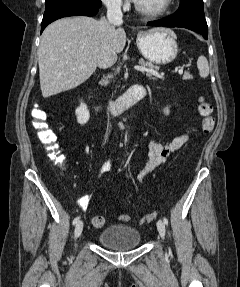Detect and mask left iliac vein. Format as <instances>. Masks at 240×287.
Instances as JSON below:
<instances>
[{"instance_id": "1", "label": "left iliac vein", "mask_w": 240, "mask_h": 287, "mask_svg": "<svg viewBox=\"0 0 240 287\" xmlns=\"http://www.w3.org/2000/svg\"><path fill=\"white\" fill-rule=\"evenodd\" d=\"M157 229H158L160 236L162 238H164V236H165V224L163 221H161V220L157 221Z\"/></svg>"}]
</instances>
